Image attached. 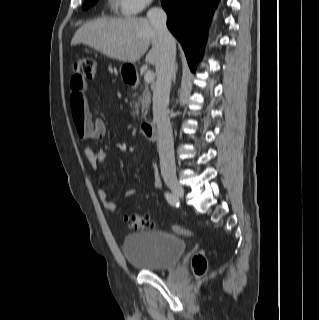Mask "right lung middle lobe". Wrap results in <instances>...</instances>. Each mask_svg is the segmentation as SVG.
I'll return each mask as SVG.
<instances>
[{"instance_id": "obj_1", "label": "right lung middle lobe", "mask_w": 319, "mask_h": 320, "mask_svg": "<svg viewBox=\"0 0 319 320\" xmlns=\"http://www.w3.org/2000/svg\"><path fill=\"white\" fill-rule=\"evenodd\" d=\"M96 2H97V0H87V1L83 4V9L86 10V9L90 8V7L93 6Z\"/></svg>"}]
</instances>
